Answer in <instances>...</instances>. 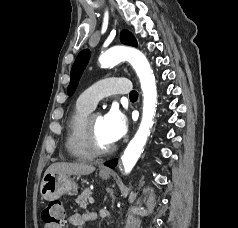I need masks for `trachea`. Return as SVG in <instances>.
Wrapping results in <instances>:
<instances>
[{"mask_svg": "<svg viewBox=\"0 0 238 228\" xmlns=\"http://www.w3.org/2000/svg\"><path fill=\"white\" fill-rule=\"evenodd\" d=\"M129 98L131 99V100H134V99H137L138 98V93L136 92V91H131L130 92V95H129Z\"/></svg>", "mask_w": 238, "mask_h": 228, "instance_id": "3493384b", "label": "trachea"}]
</instances>
